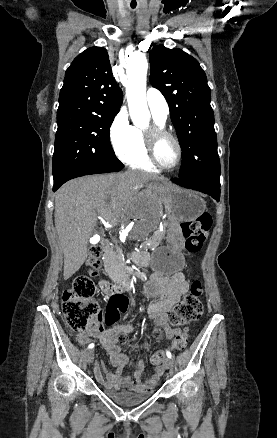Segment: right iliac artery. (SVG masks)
<instances>
[{"label":"right iliac artery","instance_id":"82829eb1","mask_svg":"<svg viewBox=\"0 0 277 438\" xmlns=\"http://www.w3.org/2000/svg\"><path fill=\"white\" fill-rule=\"evenodd\" d=\"M93 347H94V344H93V343H91V344L88 345V349H91V348H93Z\"/></svg>","mask_w":277,"mask_h":438}]
</instances>
